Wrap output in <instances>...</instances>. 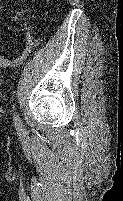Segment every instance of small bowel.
Masks as SVG:
<instances>
[{"label":"small bowel","mask_w":123,"mask_h":201,"mask_svg":"<svg viewBox=\"0 0 123 201\" xmlns=\"http://www.w3.org/2000/svg\"><path fill=\"white\" fill-rule=\"evenodd\" d=\"M2 10H3V7L0 4V14L2 13ZM35 43H36V40L33 37V35L30 32H27L26 33V44H25V48H24L22 54L13 60H10V59L0 55V67L1 68H13V67H17V66L21 65L25 61V59L27 58L29 53L31 52V49Z\"/></svg>","instance_id":"small-bowel-1"}]
</instances>
